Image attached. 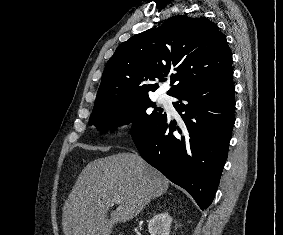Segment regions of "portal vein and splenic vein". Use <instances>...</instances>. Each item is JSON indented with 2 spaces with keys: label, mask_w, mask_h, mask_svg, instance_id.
I'll list each match as a JSON object with an SVG mask.
<instances>
[{
  "label": "portal vein and splenic vein",
  "mask_w": 283,
  "mask_h": 235,
  "mask_svg": "<svg viewBox=\"0 0 283 235\" xmlns=\"http://www.w3.org/2000/svg\"><path fill=\"white\" fill-rule=\"evenodd\" d=\"M112 202H113V203H118V202H120V200H119V198H113V199H112Z\"/></svg>",
  "instance_id": "18ae733b"
}]
</instances>
